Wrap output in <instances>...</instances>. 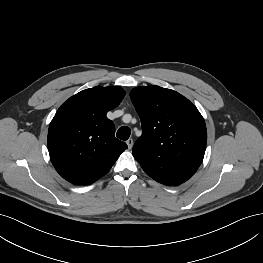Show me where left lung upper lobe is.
Instances as JSON below:
<instances>
[{
  "label": "left lung upper lobe",
  "instance_id": "1",
  "mask_svg": "<svg viewBox=\"0 0 263 263\" xmlns=\"http://www.w3.org/2000/svg\"><path fill=\"white\" fill-rule=\"evenodd\" d=\"M130 97L143 130L133 156L143 170L150 177L167 166L194 174L207 142L206 125L197 108L178 92L155 85L136 87Z\"/></svg>",
  "mask_w": 263,
  "mask_h": 263
}]
</instances>
